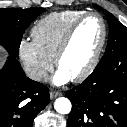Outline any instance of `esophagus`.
Returning a JSON list of instances; mask_svg holds the SVG:
<instances>
[{"label":"esophagus","mask_w":127,"mask_h":127,"mask_svg":"<svg viewBox=\"0 0 127 127\" xmlns=\"http://www.w3.org/2000/svg\"><path fill=\"white\" fill-rule=\"evenodd\" d=\"M60 95H61V92H59V91H51L50 92V99H55Z\"/></svg>","instance_id":"obj_1"}]
</instances>
